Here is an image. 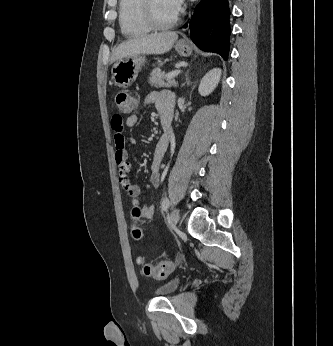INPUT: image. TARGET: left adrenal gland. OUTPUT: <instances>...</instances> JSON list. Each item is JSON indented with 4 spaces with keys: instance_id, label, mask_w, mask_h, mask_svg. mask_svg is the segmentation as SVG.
Masks as SVG:
<instances>
[{
    "instance_id": "a2214340",
    "label": "left adrenal gland",
    "mask_w": 333,
    "mask_h": 346,
    "mask_svg": "<svg viewBox=\"0 0 333 346\" xmlns=\"http://www.w3.org/2000/svg\"><path fill=\"white\" fill-rule=\"evenodd\" d=\"M186 77H187V84H189L188 74H186Z\"/></svg>"
}]
</instances>
